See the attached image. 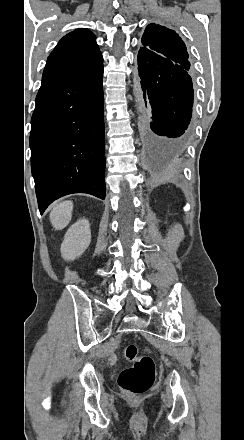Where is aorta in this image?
Segmentation results:
<instances>
[{
	"instance_id": "obj_1",
	"label": "aorta",
	"mask_w": 244,
	"mask_h": 440,
	"mask_svg": "<svg viewBox=\"0 0 244 440\" xmlns=\"http://www.w3.org/2000/svg\"><path fill=\"white\" fill-rule=\"evenodd\" d=\"M137 110H139V102L136 103Z\"/></svg>"
}]
</instances>
